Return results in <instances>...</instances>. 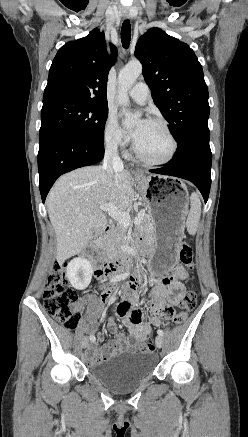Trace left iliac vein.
<instances>
[{
    "instance_id": "left-iliac-vein-1",
    "label": "left iliac vein",
    "mask_w": 248,
    "mask_h": 437,
    "mask_svg": "<svg viewBox=\"0 0 248 437\" xmlns=\"http://www.w3.org/2000/svg\"><path fill=\"white\" fill-rule=\"evenodd\" d=\"M163 337L162 336H160V335H158L156 338H155V343H156V346L158 347V348H162V346H163Z\"/></svg>"
}]
</instances>
